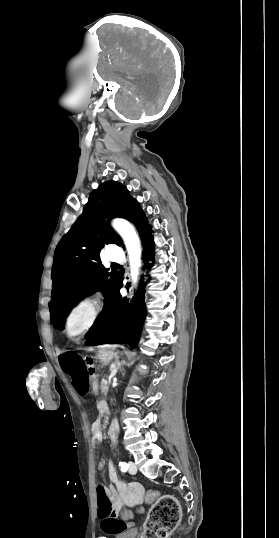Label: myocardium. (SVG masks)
Instances as JSON below:
<instances>
[{
    "label": "myocardium",
    "mask_w": 279,
    "mask_h": 538,
    "mask_svg": "<svg viewBox=\"0 0 279 538\" xmlns=\"http://www.w3.org/2000/svg\"><path fill=\"white\" fill-rule=\"evenodd\" d=\"M101 311V304L99 298L94 296H84L80 298L69 309L63 322V334L71 341L78 340L84 337L92 328L96 325ZM86 313L85 321L79 326L75 327V320L77 316L82 313Z\"/></svg>",
    "instance_id": "f54148a6"
}]
</instances>
